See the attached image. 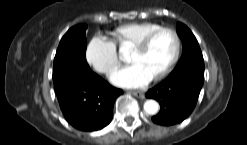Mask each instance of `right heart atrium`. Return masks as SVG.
Returning a JSON list of instances; mask_svg holds the SVG:
<instances>
[{
    "instance_id": "obj_1",
    "label": "right heart atrium",
    "mask_w": 247,
    "mask_h": 145,
    "mask_svg": "<svg viewBox=\"0 0 247 145\" xmlns=\"http://www.w3.org/2000/svg\"><path fill=\"white\" fill-rule=\"evenodd\" d=\"M88 63L99 73L109 75L119 66L116 46L102 35L94 36L86 49Z\"/></svg>"
}]
</instances>
